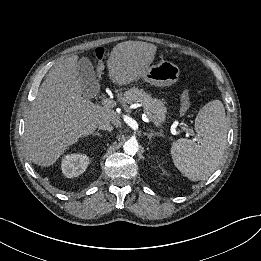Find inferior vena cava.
Instances as JSON below:
<instances>
[{
  "label": "inferior vena cava",
  "mask_w": 261,
  "mask_h": 261,
  "mask_svg": "<svg viewBox=\"0 0 261 261\" xmlns=\"http://www.w3.org/2000/svg\"><path fill=\"white\" fill-rule=\"evenodd\" d=\"M100 130L112 131L113 126L109 122H103L99 125Z\"/></svg>",
  "instance_id": "obj_1"
}]
</instances>
